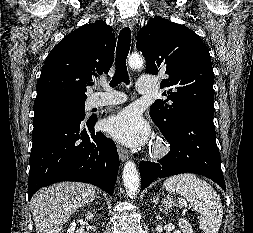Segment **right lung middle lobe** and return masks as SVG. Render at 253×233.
I'll return each instance as SVG.
<instances>
[{
    "label": "right lung middle lobe",
    "mask_w": 253,
    "mask_h": 233,
    "mask_svg": "<svg viewBox=\"0 0 253 233\" xmlns=\"http://www.w3.org/2000/svg\"><path fill=\"white\" fill-rule=\"evenodd\" d=\"M85 100H73L66 98H51L34 104L35 116L51 112H69L79 118H84Z\"/></svg>",
    "instance_id": "obj_1"
}]
</instances>
